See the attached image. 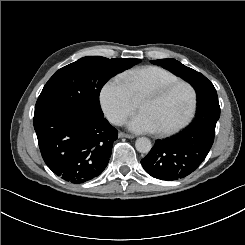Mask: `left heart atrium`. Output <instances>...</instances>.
Instances as JSON below:
<instances>
[{"label": "left heart atrium", "mask_w": 245, "mask_h": 245, "mask_svg": "<svg viewBox=\"0 0 245 245\" xmlns=\"http://www.w3.org/2000/svg\"><path fill=\"white\" fill-rule=\"evenodd\" d=\"M128 127L134 132H157L158 128L146 112H138L128 122Z\"/></svg>", "instance_id": "left-heart-atrium-1"}]
</instances>
